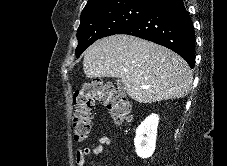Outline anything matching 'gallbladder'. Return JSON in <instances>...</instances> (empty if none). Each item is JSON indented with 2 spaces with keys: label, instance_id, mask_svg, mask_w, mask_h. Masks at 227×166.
<instances>
[{
  "label": "gallbladder",
  "instance_id": "1",
  "mask_svg": "<svg viewBox=\"0 0 227 166\" xmlns=\"http://www.w3.org/2000/svg\"><path fill=\"white\" fill-rule=\"evenodd\" d=\"M117 86H118L119 88H123V83H122L121 80H117Z\"/></svg>",
  "mask_w": 227,
  "mask_h": 166
}]
</instances>
